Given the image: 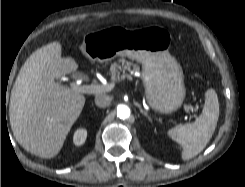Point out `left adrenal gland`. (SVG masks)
<instances>
[{
	"label": "left adrenal gland",
	"instance_id": "obj_1",
	"mask_svg": "<svg viewBox=\"0 0 245 187\" xmlns=\"http://www.w3.org/2000/svg\"><path fill=\"white\" fill-rule=\"evenodd\" d=\"M139 110H140V112L146 117V118H148V120L150 121V122H152V119H151V117L148 115V113L139 105Z\"/></svg>",
	"mask_w": 245,
	"mask_h": 187
}]
</instances>
